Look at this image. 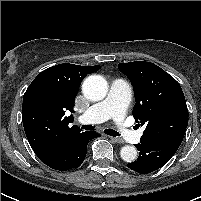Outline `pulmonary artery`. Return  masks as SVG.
<instances>
[{"instance_id":"obj_1","label":"pulmonary artery","mask_w":201,"mask_h":201,"mask_svg":"<svg viewBox=\"0 0 201 201\" xmlns=\"http://www.w3.org/2000/svg\"><path fill=\"white\" fill-rule=\"evenodd\" d=\"M131 100V88L123 79H114L104 100L84 112L78 119L85 123H99L113 119L119 134L129 142L137 143L141 134L135 132L124 123L127 107Z\"/></svg>"}]
</instances>
